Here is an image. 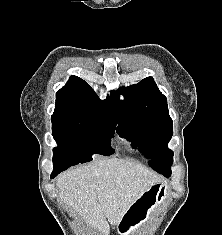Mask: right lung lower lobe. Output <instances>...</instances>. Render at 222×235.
<instances>
[{
	"instance_id": "right-lung-lower-lobe-1",
	"label": "right lung lower lobe",
	"mask_w": 222,
	"mask_h": 235,
	"mask_svg": "<svg viewBox=\"0 0 222 235\" xmlns=\"http://www.w3.org/2000/svg\"><path fill=\"white\" fill-rule=\"evenodd\" d=\"M58 174H54V173H52L51 174V178H54L55 176H57Z\"/></svg>"
}]
</instances>
